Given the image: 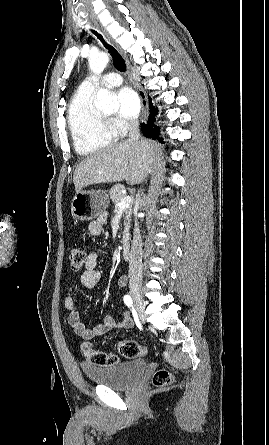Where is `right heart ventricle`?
Masks as SVG:
<instances>
[{
    "label": "right heart ventricle",
    "instance_id": "right-heart-ventricle-1",
    "mask_svg": "<svg viewBox=\"0 0 269 445\" xmlns=\"http://www.w3.org/2000/svg\"><path fill=\"white\" fill-rule=\"evenodd\" d=\"M94 91L80 86L73 95L67 111L68 128L75 151L91 156L116 141V133L93 106Z\"/></svg>",
    "mask_w": 269,
    "mask_h": 445
}]
</instances>
